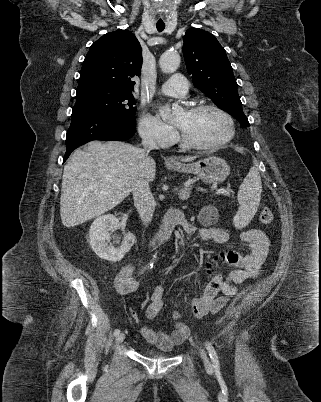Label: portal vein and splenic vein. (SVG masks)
Here are the masks:
<instances>
[{
    "mask_svg": "<svg viewBox=\"0 0 321 402\" xmlns=\"http://www.w3.org/2000/svg\"><path fill=\"white\" fill-rule=\"evenodd\" d=\"M216 194H217V195H226V196H229V195H230V192H229V190H227V189L221 188V189H218V190L216 191Z\"/></svg>",
    "mask_w": 321,
    "mask_h": 402,
    "instance_id": "1",
    "label": "portal vein and splenic vein"
}]
</instances>
